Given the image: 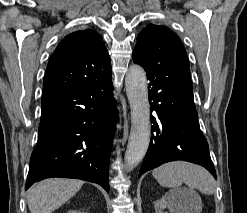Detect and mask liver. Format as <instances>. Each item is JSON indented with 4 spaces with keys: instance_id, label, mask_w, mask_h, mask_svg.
Wrapping results in <instances>:
<instances>
[{
    "instance_id": "1",
    "label": "liver",
    "mask_w": 247,
    "mask_h": 213,
    "mask_svg": "<svg viewBox=\"0 0 247 213\" xmlns=\"http://www.w3.org/2000/svg\"><path fill=\"white\" fill-rule=\"evenodd\" d=\"M83 184L81 180L66 178H51L35 184L27 196L30 212L52 213L73 197Z\"/></svg>"
}]
</instances>
